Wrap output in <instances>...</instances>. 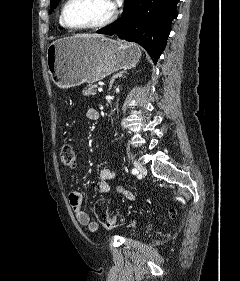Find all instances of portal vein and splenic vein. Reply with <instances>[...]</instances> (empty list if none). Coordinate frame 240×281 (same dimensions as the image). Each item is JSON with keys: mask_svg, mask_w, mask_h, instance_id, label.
I'll list each match as a JSON object with an SVG mask.
<instances>
[{"mask_svg": "<svg viewBox=\"0 0 240 281\" xmlns=\"http://www.w3.org/2000/svg\"><path fill=\"white\" fill-rule=\"evenodd\" d=\"M98 91H99V92H102V91H103L102 87H99V88H98Z\"/></svg>", "mask_w": 240, "mask_h": 281, "instance_id": "18ae733b", "label": "portal vein and splenic vein"}]
</instances>
